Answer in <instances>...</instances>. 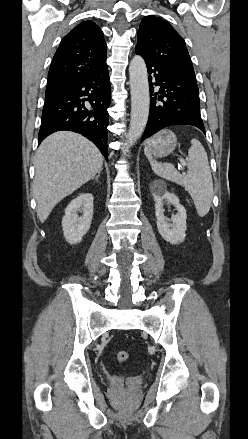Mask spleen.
<instances>
[{"mask_svg": "<svg viewBox=\"0 0 248 439\" xmlns=\"http://www.w3.org/2000/svg\"><path fill=\"white\" fill-rule=\"evenodd\" d=\"M191 144L188 151V171L186 174L179 173L170 163H159L154 160L147 147H145L144 152L154 173L183 186L193 199L198 215L204 217L209 212L213 199L212 175L203 145L197 139H192Z\"/></svg>", "mask_w": 248, "mask_h": 439, "instance_id": "3e777b00", "label": "spleen"}]
</instances>
